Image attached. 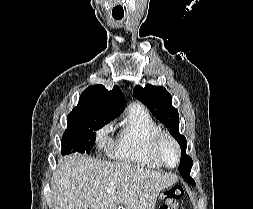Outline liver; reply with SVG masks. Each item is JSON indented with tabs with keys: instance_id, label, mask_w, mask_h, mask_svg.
Wrapping results in <instances>:
<instances>
[{
	"instance_id": "liver-1",
	"label": "liver",
	"mask_w": 253,
	"mask_h": 209,
	"mask_svg": "<svg viewBox=\"0 0 253 209\" xmlns=\"http://www.w3.org/2000/svg\"><path fill=\"white\" fill-rule=\"evenodd\" d=\"M177 176L128 162H107L82 154L65 156L53 173V209H154L159 193Z\"/></svg>"
}]
</instances>
